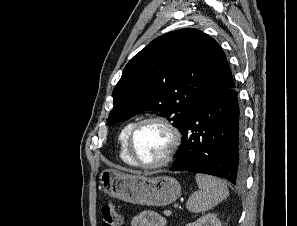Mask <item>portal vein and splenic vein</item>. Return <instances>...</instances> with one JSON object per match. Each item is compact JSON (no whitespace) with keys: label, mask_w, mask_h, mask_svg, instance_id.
Here are the masks:
<instances>
[{"label":"portal vein and splenic vein","mask_w":297,"mask_h":226,"mask_svg":"<svg viewBox=\"0 0 297 226\" xmlns=\"http://www.w3.org/2000/svg\"><path fill=\"white\" fill-rule=\"evenodd\" d=\"M173 207H174L175 209H178L179 204H178V203H174Z\"/></svg>","instance_id":"18ae733b"}]
</instances>
